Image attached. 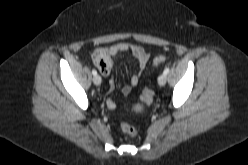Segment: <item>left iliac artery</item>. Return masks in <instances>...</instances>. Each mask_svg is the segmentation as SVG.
Returning a JSON list of instances; mask_svg holds the SVG:
<instances>
[{
  "label": "left iliac artery",
  "instance_id": "1",
  "mask_svg": "<svg viewBox=\"0 0 248 165\" xmlns=\"http://www.w3.org/2000/svg\"><path fill=\"white\" fill-rule=\"evenodd\" d=\"M165 75H167L169 73V68H165L164 72H163Z\"/></svg>",
  "mask_w": 248,
  "mask_h": 165
}]
</instances>
